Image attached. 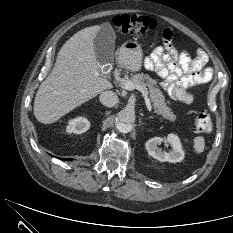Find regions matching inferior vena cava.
Segmentation results:
<instances>
[{
  "mask_svg": "<svg viewBox=\"0 0 233 233\" xmlns=\"http://www.w3.org/2000/svg\"><path fill=\"white\" fill-rule=\"evenodd\" d=\"M99 100L106 107H113L119 101L117 94L113 91L102 92L99 96Z\"/></svg>",
  "mask_w": 233,
  "mask_h": 233,
  "instance_id": "602c4592",
  "label": "inferior vena cava"
}]
</instances>
